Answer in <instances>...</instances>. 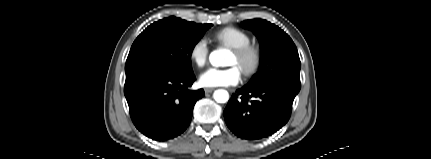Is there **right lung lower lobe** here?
<instances>
[{"label":"right lung lower lobe","instance_id":"obj_1","mask_svg":"<svg viewBox=\"0 0 431 159\" xmlns=\"http://www.w3.org/2000/svg\"><path fill=\"white\" fill-rule=\"evenodd\" d=\"M194 74L184 75L161 67H147L126 76L124 94L135 127L145 136L166 141L189 126L193 108L203 89L190 91Z\"/></svg>","mask_w":431,"mask_h":159}]
</instances>
